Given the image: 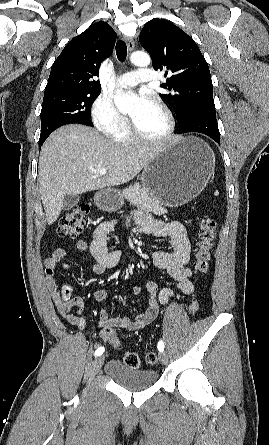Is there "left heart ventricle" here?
Returning a JSON list of instances; mask_svg holds the SVG:
<instances>
[{"label":"left heart ventricle","mask_w":269,"mask_h":445,"mask_svg":"<svg viewBox=\"0 0 269 445\" xmlns=\"http://www.w3.org/2000/svg\"><path fill=\"white\" fill-rule=\"evenodd\" d=\"M128 114L139 132L145 137H160L167 129L166 116L154 103L144 110H139L136 103Z\"/></svg>","instance_id":"1"}]
</instances>
